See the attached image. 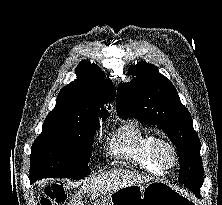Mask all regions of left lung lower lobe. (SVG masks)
Masks as SVG:
<instances>
[{
    "label": "left lung lower lobe",
    "mask_w": 222,
    "mask_h": 205,
    "mask_svg": "<svg viewBox=\"0 0 222 205\" xmlns=\"http://www.w3.org/2000/svg\"><path fill=\"white\" fill-rule=\"evenodd\" d=\"M193 165L194 163L191 162V160H185V161L180 162L181 169H187V170L194 169ZM185 185L188 186L194 194L199 196L200 188H197L193 183H190V182H186Z\"/></svg>",
    "instance_id": "left-lung-lower-lobe-1"
}]
</instances>
